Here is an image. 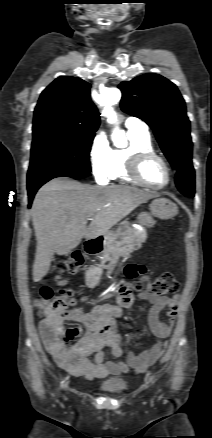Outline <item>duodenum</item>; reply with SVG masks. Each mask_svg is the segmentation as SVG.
Wrapping results in <instances>:
<instances>
[{"label":"duodenum","instance_id":"duodenum-1","mask_svg":"<svg viewBox=\"0 0 212 438\" xmlns=\"http://www.w3.org/2000/svg\"><path fill=\"white\" fill-rule=\"evenodd\" d=\"M102 247V239L100 238H94V239H88L84 243V250L89 255L97 254Z\"/></svg>","mask_w":212,"mask_h":438}]
</instances>
